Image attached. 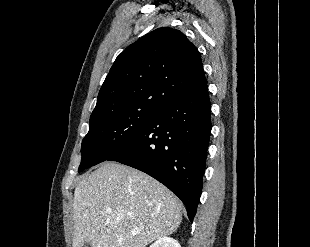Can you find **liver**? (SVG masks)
I'll use <instances>...</instances> for the list:
<instances>
[{
  "label": "liver",
  "mask_w": 310,
  "mask_h": 247,
  "mask_svg": "<svg viewBox=\"0 0 310 247\" xmlns=\"http://www.w3.org/2000/svg\"><path fill=\"white\" fill-rule=\"evenodd\" d=\"M182 209L181 201L151 176L104 162L75 188L73 247L85 241L91 247H146L177 230Z\"/></svg>",
  "instance_id": "1"
}]
</instances>
